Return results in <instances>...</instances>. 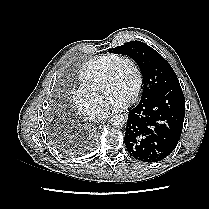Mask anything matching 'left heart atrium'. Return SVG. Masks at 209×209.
Segmentation results:
<instances>
[{
    "label": "left heart atrium",
    "instance_id": "obj_1",
    "mask_svg": "<svg viewBox=\"0 0 209 209\" xmlns=\"http://www.w3.org/2000/svg\"><path fill=\"white\" fill-rule=\"evenodd\" d=\"M126 99L117 95L111 96L107 102H106V107L108 109H113V108H120L123 107L126 104Z\"/></svg>",
    "mask_w": 209,
    "mask_h": 209
}]
</instances>
